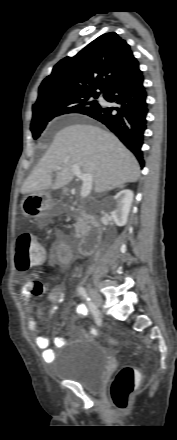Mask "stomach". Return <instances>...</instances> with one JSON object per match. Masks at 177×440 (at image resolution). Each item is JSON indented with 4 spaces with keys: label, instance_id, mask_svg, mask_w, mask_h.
Listing matches in <instances>:
<instances>
[{
    "label": "stomach",
    "instance_id": "0dacf381",
    "mask_svg": "<svg viewBox=\"0 0 177 440\" xmlns=\"http://www.w3.org/2000/svg\"><path fill=\"white\" fill-rule=\"evenodd\" d=\"M21 209L25 216L34 218L37 221H48L60 210L50 195L43 191L33 192L25 196L21 203Z\"/></svg>",
    "mask_w": 177,
    "mask_h": 440
}]
</instances>
